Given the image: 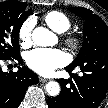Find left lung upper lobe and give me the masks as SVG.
Masks as SVG:
<instances>
[{"instance_id":"left-lung-upper-lobe-1","label":"left lung upper lobe","mask_w":108,"mask_h":108,"mask_svg":"<svg viewBox=\"0 0 108 108\" xmlns=\"http://www.w3.org/2000/svg\"><path fill=\"white\" fill-rule=\"evenodd\" d=\"M74 14L84 18L83 26L84 42L82 48L70 64V66H80L86 63L96 65H108V26L96 14L83 7L68 8ZM76 91H71L67 94L68 98L74 100Z\"/></svg>"}]
</instances>
